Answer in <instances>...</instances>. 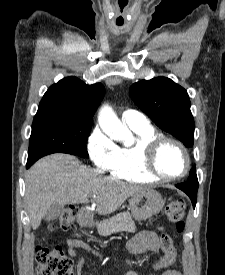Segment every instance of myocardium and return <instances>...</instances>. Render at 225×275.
Wrapping results in <instances>:
<instances>
[{
    "mask_svg": "<svg viewBox=\"0 0 225 275\" xmlns=\"http://www.w3.org/2000/svg\"><path fill=\"white\" fill-rule=\"evenodd\" d=\"M167 143L176 145L182 152L184 158L183 170L177 175H164L157 167V155L161 148ZM142 166L144 170L156 180L171 181L182 178L188 173L190 168V157L187 148L181 141L172 137L159 135L143 143Z\"/></svg>",
    "mask_w": 225,
    "mask_h": 275,
    "instance_id": "f54148a6",
    "label": "myocardium"
}]
</instances>
